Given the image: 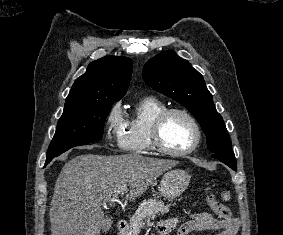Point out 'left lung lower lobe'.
I'll return each instance as SVG.
<instances>
[{
	"label": "left lung lower lobe",
	"mask_w": 283,
	"mask_h": 235,
	"mask_svg": "<svg viewBox=\"0 0 283 235\" xmlns=\"http://www.w3.org/2000/svg\"><path fill=\"white\" fill-rule=\"evenodd\" d=\"M213 157L220 160L221 162L229 166L231 169L236 171L237 162L234 153H214Z\"/></svg>",
	"instance_id": "obj_1"
}]
</instances>
